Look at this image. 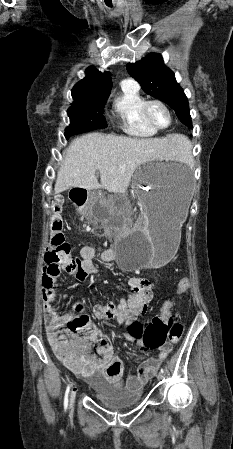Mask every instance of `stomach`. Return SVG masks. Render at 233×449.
Listing matches in <instances>:
<instances>
[{
	"mask_svg": "<svg viewBox=\"0 0 233 449\" xmlns=\"http://www.w3.org/2000/svg\"><path fill=\"white\" fill-rule=\"evenodd\" d=\"M131 187L145 213L137 226L115 239V260L125 271L164 266L177 252L181 225L194 199L189 170L182 163H145L137 168ZM117 198L90 196L80 209L93 222L128 227L131 214L116 212L124 206Z\"/></svg>",
	"mask_w": 233,
	"mask_h": 449,
	"instance_id": "1",
	"label": "stomach"
}]
</instances>
